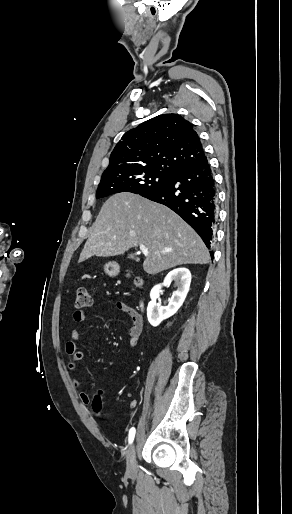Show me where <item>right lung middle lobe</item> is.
<instances>
[{
	"label": "right lung middle lobe",
	"instance_id": "right-lung-middle-lobe-1",
	"mask_svg": "<svg viewBox=\"0 0 292 514\" xmlns=\"http://www.w3.org/2000/svg\"><path fill=\"white\" fill-rule=\"evenodd\" d=\"M170 177V174L157 171L102 179L96 197L102 198L120 192L144 195L163 185Z\"/></svg>",
	"mask_w": 292,
	"mask_h": 514
}]
</instances>
